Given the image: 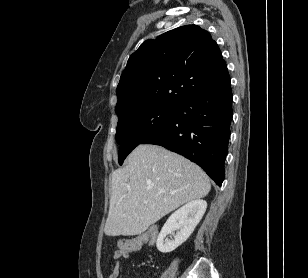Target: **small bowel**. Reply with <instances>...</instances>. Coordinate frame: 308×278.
<instances>
[{"mask_svg":"<svg viewBox=\"0 0 308 278\" xmlns=\"http://www.w3.org/2000/svg\"><path fill=\"white\" fill-rule=\"evenodd\" d=\"M141 249V247H140ZM130 253H128V250H117L113 254V267L110 270L107 278H119L120 275V260L121 259H127L129 257Z\"/></svg>","mask_w":308,"mask_h":278,"instance_id":"obj_1","label":"small bowel"}]
</instances>
